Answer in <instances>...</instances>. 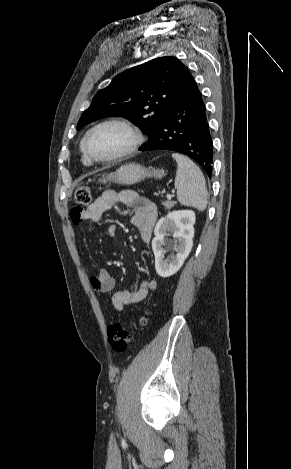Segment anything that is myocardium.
Wrapping results in <instances>:
<instances>
[{"label": "myocardium", "instance_id": "myocardium-1", "mask_svg": "<svg viewBox=\"0 0 291 469\" xmlns=\"http://www.w3.org/2000/svg\"><path fill=\"white\" fill-rule=\"evenodd\" d=\"M106 125H119V126L124 127L131 134L132 140H131L130 145L125 150L121 151L120 153L113 155L111 157H108V158H96L92 156L91 153L89 152V148H88L89 139L95 130ZM143 141H144V136L141 130L137 126H135L132 122H130L129 120L125 118L114 117V118L103 120L88 130V132L86 133L83 139V153L86 156V158L92 163H99V164L111 163V162H115L123 158H126L130 156L131 154H133L142 145Z\"/></svg>", "mask_w": 291, "mask_h": 469}]
</instances>
